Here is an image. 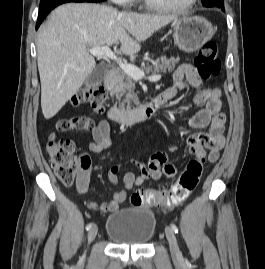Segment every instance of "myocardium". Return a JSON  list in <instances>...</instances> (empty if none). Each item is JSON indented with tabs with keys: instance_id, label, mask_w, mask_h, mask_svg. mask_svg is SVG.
<instances>
[{
	"instance_id": "f54148a6",
	"label": "myocardium",
	"mask_w": 265,
	"mask_h": 269,
	"mask_svg": "<svg viewBox=\"0 0 265 269\" xmlns=\"http://www.w3.org/2000/svg\"><path fill=\"white\" fill-rule=\"evenodd\" d=\"M143 1L148 7L154 10L181 13L191 9L195 5L197 0H189L186 4L180 6L166 5L157 2L156 0H143Z\"/></svg>"
}]
</instances>
